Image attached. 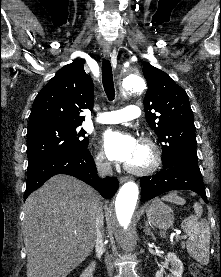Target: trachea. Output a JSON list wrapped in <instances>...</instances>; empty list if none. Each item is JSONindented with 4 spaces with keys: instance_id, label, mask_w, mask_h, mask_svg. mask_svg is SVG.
<instances>
[{
    "instance_id": "obj_1",
    "label": "trachea",
    "mask_w": 221,
    "mask_h": 277,
    "mask_svg": "<svg viewBox=\"0 0 221 277\" xmlns=\"http://www.w3.org/2000/svg\"><path fill=\"white\" fill-rule=\"evenodd\" d=\"M102 82L108 99L113 101L115 98V89L113 84L112 67L110 61L106 59L102 62Z\"/></svg>"
}]
</instances>
